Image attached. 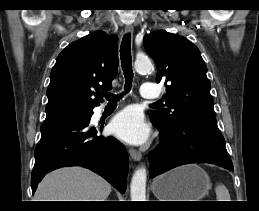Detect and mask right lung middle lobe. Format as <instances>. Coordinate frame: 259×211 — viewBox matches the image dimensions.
Instances as JSON below:
<instances>
[{
  "instance_id": "obj_1",
  "label": "right lung middle lobe",
  "mask_w": 259,
  "mask_h": 211,
  "mask_svg": "<svg viewBox=\"0 0 259 211\" xmlns=\"http://www.w3.org/2000/svg\"><path fill=\"white\" fill-rule=\"evenodd\" d=\"M90 113H91V112H90ZM90 113L80 114V115H76V116L87 117Z\"/></svg>"
}]
</instances>
